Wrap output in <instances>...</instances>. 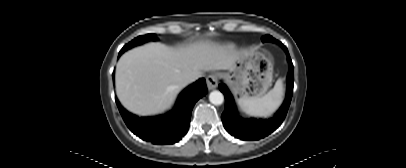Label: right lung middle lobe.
I'll return each instance as SVG.
<instances>
[{
    "mask_svg": "<svg viewBox=\"0 0 406 168\" xmlns=\"http://www.w3.org/2000/svg\"><path fill=\"white\" fill-rule=\"evenodd\" d=\"M157 40L156 34H147V35H143V36H139L137 38H135L134 40H132L131 42H129L128 44H126L120 52H124L127 49H130L134 46L143 44L145 42L148 41H155Z\"/></svg>",
    "mask_w": 406,
    "mask_h": 168,
    "instance_id": "1",
    "label": "right lung middle lobe"
}]
</instances>
